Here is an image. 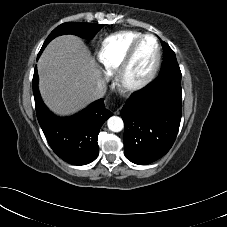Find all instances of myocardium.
I'll use <instances>...</instances> for the list:
<instances>
[{
    "mask_svg": "<svg viewBox=\"0 0 227 227\" xmlns=\"http://www.w3.org/2000/svg\"><path fill=\"white\" fill-rule=\"evenodd\" d=\"M152 38L156 46L155 60L150 70L140 78H132L130 76L131 67L138 51V48L144 40ZM161 62V47L156 36L153 34H143L136 39L130 46L126 56L119 66L116 74V83L119 89L126 93L138 91L150 83L155 77Z\"/></svg>",
    "mask_w": 227,
    "mask_h": 227,
    "instance_id": "f54148a6",
    "label": "myocardium"
}]
</instances>
